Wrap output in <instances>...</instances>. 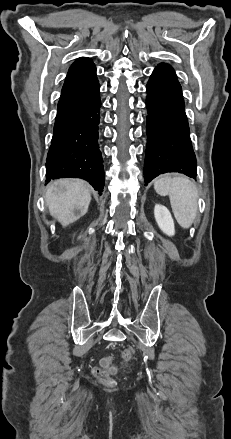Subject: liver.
<instances>
[{
    "label": "liver",
    "mask_w": 231,
    "mask_h": 439,
    "mask_svg": "<svg viewBox=\"0 0 231 439\" xmlns=\"http://www.w3.org/2000/svg\"><path fill=\"white\" fill-rule=\"evenodd\" d=\"M50 215L66 226L86 214L91 195L88 184L81 179L52 181L45 193Z\"/></svg>",
    "instance_id": "liver-1"
}]
</instances>
